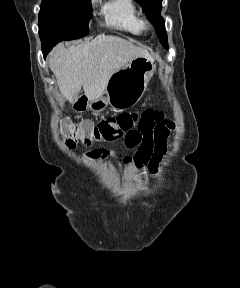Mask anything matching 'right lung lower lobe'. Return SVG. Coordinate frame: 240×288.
Instances as JSON below:
<instances>
[{"label": "right lung lower lobe", "instance_id": "obj_1", "mask_svg": "<svg viewBox=\"0 0 240 288\" xmlns=\"http://www.w3.org/2000/svg\"><path fill=\"white\" fill-rule=\"evenodd\" d=\"M53 47H42V52L44 57H46L47 53L52 49Z\"/></svg>", "mask_w": 240, "mask_h": 288}]
</instances>
